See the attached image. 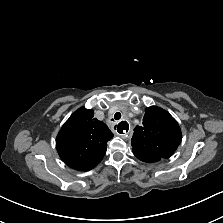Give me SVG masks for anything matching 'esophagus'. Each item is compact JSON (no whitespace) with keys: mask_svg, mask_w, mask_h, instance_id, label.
I'll return each mask as SVG.
<instances>
[{"mask_svg":"<svg viewBox=\"0 0 223 223\" xmlns=\"http://www.w3.org/2000/svg\"><path fill=\"white\" fill-rule=\"evenodd\" d=\"M117 132L123 138H127L129 136L130 127L126 121H122L117 125Z\"/></svg>","mask_w":223,"mask_h":223,"instance_id":"1","label":"esophagus"}]
</instances>
